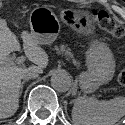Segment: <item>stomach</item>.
I'll return each instance as SVG.
<instances>
[{"label": "stomach", "mask_w": 125, "mask_h": 125, "mask_svg": "<svg viewBox=\"0 0 125 125\" xmlns=\"http://www.w3.org/2000/svg\"><path fill=\"white\" fill-rule=\"evenodd\" d=\"M75 14L73 10H63L60 20L49 8H35L29 18L32 37L38 45L53 43L61 30V21L79 34H93L91 22L81 21ZM85 58L87 71L80 75V88L84 92H93L113 78L115 60L109 47L98 40L90 43Z\"/></svg>", "instance_id": "obj_1"}]
</instances>
